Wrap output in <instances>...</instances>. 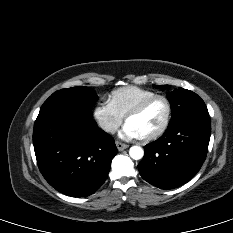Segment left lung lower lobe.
<instances>
[{"mask_svg": "<svg viewBox=\"0 0 233 233\" xmlns=\"http://www.w3.org/2000/svg\"><path fill=\"white\" fill-rule=\"evenodd\" d=\"M211 134L209 116L194 115L169 125L162 137L145 146L139 163L144 180L160 189L179 187L199 171Z\"/></svg>", "mask_w": 233, "mask_h": 233, "instance_id": "obj_1", "label": "left lung lower lobe"}]
</instances>
